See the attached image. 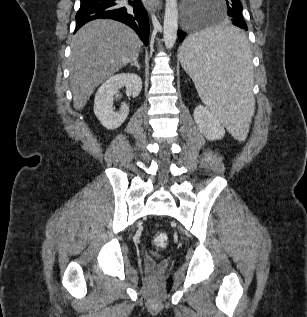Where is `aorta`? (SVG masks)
Returning a JSON list of instances; mask_svg holds the SVG:
<instances>
[{
  "label": "aorta",
  "instance_id": "1",
  "mask_svg": "<svg viewBox=\"0 0 307 317\" xmlns=\"http://www.w3.org/2000/svg\"><path fill=\"white\" fill-rule=\"evenodd\" d=\"M178 29V6L177 0H166L163 40L167 49L175 45Z\"/></svg>",
  "mask_w": 307,
  "mask_h": 317
}]
</instances>
